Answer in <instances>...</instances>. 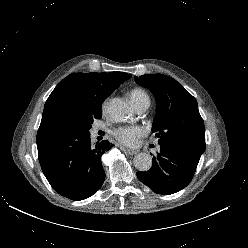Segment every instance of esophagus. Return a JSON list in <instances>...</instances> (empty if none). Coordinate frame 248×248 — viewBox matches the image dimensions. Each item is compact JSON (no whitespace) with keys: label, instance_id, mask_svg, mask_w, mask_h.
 <instances>
[{"label":"esophagus","instance_id":"esophagus-1","mask_svg":"<svg viewBox=\"0 0 248 248\" xmlns=\"http://www.w3.org/2000/svg\"><path fill=\"white\" fill-rule=\"evenodd\" d=\"M126 152H127L129 155H135V154L138 153V150H133V149L127 148V149H126Z\"/></svg>","mask_w":248,"mask_h":248}]
</instances>
